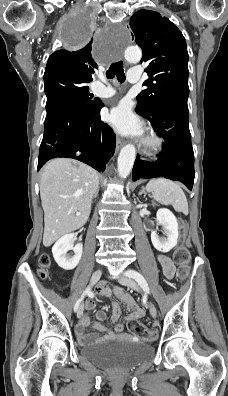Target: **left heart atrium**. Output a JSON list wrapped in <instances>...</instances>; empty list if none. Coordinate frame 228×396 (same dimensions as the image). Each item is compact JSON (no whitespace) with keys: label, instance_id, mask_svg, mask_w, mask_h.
<instances>
[{"label":"left heart atrium","instance_id":"left-heart-atrium-1","mask_svg":"<svg viewBox=\"0 0 228 396\" xmlns=\"http://www.w3.org/2000/svg\"><path fill=\"white\" fill-rule=\"evenodd\" d=\"M107 120L116 131L122 134L140 135L142 133V124L132 113L126 101L121 102L118 106L113 108Z\"/></svg>","mask_w":228,"mask_h":396}]
</instances>
